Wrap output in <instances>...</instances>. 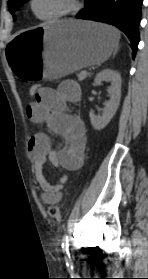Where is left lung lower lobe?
Masks as SVG:
<instances>
[{
	"label": "left lung lower lobe",
	"instance_id": "0a47b994",
	"mask_svg": "<svg viewBox=\"0 0 148 279\" xmlns=\"http://www.w3.org/2000/svg\"><path fill=\"white\" fill-rule=\"evenodd\" d=\"M86 8L76 15L78 19L108 23L122 30L129 40L133 57L137 52L139 23L143 0H85Z\"/></svg>",
	"mask_w": 148,
	"mask_h": 279
}]
</instances>
